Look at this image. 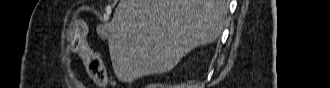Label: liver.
Listing matches in <instances>:
<instances>
[{
	"instance_id": "obj_1",
	"label": "liver",
	"mask_w": 330,
	"mask_h": 88,
	"mask_svg": "<svg viewBox=\"0 0 330 88\" xmlns=\"http://www.w3.org/2000/svg\"><path fill=\"white\" fill-rule=\"evenodd\" d=\"M226 13V0H120L104 33L116 76L132 82L170 71L221 35Z\"/></svg>"
}]
</instances>
